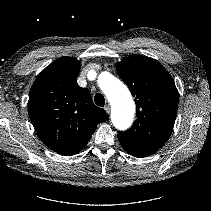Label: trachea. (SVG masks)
<instances>
[{
  "label": "trachea",
  "mask_w": 211,
  "mask_h": 211,
  "mask_svg": "<svg viewBox=\"0 0 211 211\" xmlns=\"http://www.w3.org/2000/svg\"><path fill=\"white\" fill-rule=\"evenodd\" d=\"M94 101H95L97 106L103 107L105 105V99H104V96L101 93L95 94Z\"/></svg>",
  "instance_id": "1"
}]
</instances>
